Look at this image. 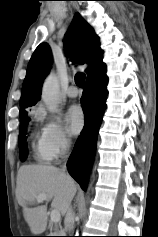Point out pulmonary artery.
Instances as JSON below:
<instances>
[{"label":"pulmonary artery","mask_w":158,"mask_h":237,"mask_svg":"<svg viewBox=\"0 0 158 237\" xmlns=\"http://www.w3.org/2000/svg\"><path fill=\"white\" fill-rule=\"evenodd\" d=\"M66 95L70 98H75L78 96V91L72 86L66 90Z\"/></svg>","instance_id":"e3ab8cb5"}]
</instances>
